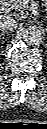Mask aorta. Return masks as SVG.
Here are the masks:
<instances>
[{
    "instance_id": "1",
    "label": "aorta",
    "mask_w": 47,
    "mask_h": 129,
    "mask_svg": "<svg viewBox=\"0 0 47 129\" xmlns=\"http://www.w3.org/2000/svg\"><path fill=\"white\" fill-rule=\"evenodd\" d=\"M22 37L26 44L37 45L42 41V32L36 26H28L22 31Z\"/></svg>"
}]
</instances>
